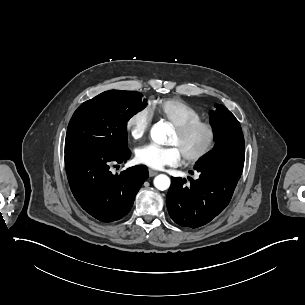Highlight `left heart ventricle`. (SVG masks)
I'll use <instances>...</instances> for the list:
<instances>
[{
    "label": "left heart ventricle",
    "mask_w": 305,
    "mask_h": 305,
    "mask_svg": "<svg viewBox=\"0 0 305 305\" xmlns=\"http://www.w3.org/2000/svg\"><path fill=\"white\" fill-rule=\"evenodd\" d=\"M208 140V132L204 128L196 129L188 135H180L175 129L169 143L177 146L182 157L199 151Z\"/></svg>",
    "instance_id": "b2bd125f"
}]
</instances>
